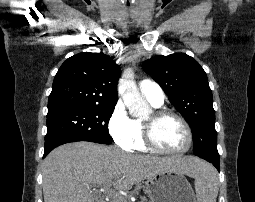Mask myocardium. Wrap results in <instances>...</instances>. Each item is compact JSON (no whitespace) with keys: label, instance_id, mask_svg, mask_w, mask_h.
Returning <instances> with one entry per match:
<instances>
[{"label":"myocardium","instance_id":"f54148a6","mask_svg":"<svg viewBox=\"0 0 255 202\" xmlns=\"http://www.w3.org/2000/svg\"><path fill=\"white\" fill-rule=\"evenodd\" d=\"M168 117L177 119L183 125L187 135V143L185 147L177 151H168V150L162 149L161 147L158 146L154 137V129L157 123ZM142 125H143L144 143L146 147L148 148V150L154 153H158L162 155L178 156V155H182L186 153L192 146L193 134H192L191 127L189 123L187 122V120L176 112L166 110V109H156L151 113L148 119H145L144 121H142Z\"/></svg>","mask_w":255,"mask_h":202}]
</instances>
